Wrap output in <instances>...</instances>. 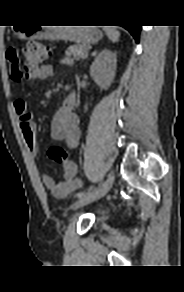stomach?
<instances>
[{"mask_svg": "<svg viewBox=\"0 0 184 292\" xmlns=\"http://www.w3.org/2000/svg\"><path fill=\"white\" fill-rule=\"evenodd\" d=\"M19 35L25 39L49 38L53 40H65L79 44H89L102 38V33L95 27H61L53 31L43 32L39 27L23 28L19 30Z\"/></svg>", "mask_w": 184, "mask_h": 292, "instance_id": "1", "label": "stomach"}]
</instances>
